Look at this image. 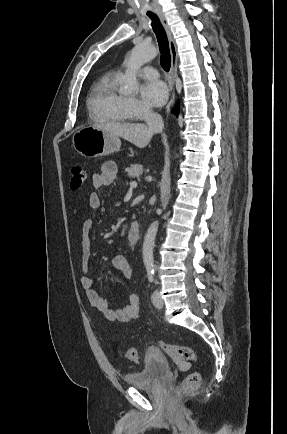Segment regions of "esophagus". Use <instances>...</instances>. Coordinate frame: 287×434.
I'll use <instances>...</instances> for the list:
<instances>
[{"instance_id": "esophagus-1", "label": "esophagus", "mask_w": 287, "mask_h": 434, "mask_svg": "<svg viewBox=\"0 0 287 434\" xmlns=\"http://www.w3.org/2000/svg\"><path fill=\"white\" fill-rule=\"evenodd\" d=\"M158 17L166 31L168 40H169V47H170V54H171V74H170V86L172 89V94L170 97V100L168 102L167 105V111H170L173 107L174 104V100H175V94H174V82H175V75H176V71H177V60H178V56H177V49H176V44L173 38V34L171 31V28L167 22L166 17L164 16V14L162 12H158Z\"/></svg>"}]
</instances>
